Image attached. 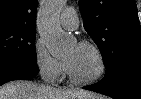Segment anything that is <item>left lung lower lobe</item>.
I'll return each instance as SVG.
<instances>
[{
	"label": "left lung lower lobe",
	"instance_id": "1",
	"mask_svg": "<svg viewBox=\"0 0 141 99\" xmlns=\"http://www.w3.org/2000/svg\"><path fill=\"white\" fill-rule=\"evenodd\" d=\"M83 88L114 99H141V63L122 64L100 82Z\"/></svg>",
	"mask_w": 141,
	"mask_h": 99
}]
</instances>
